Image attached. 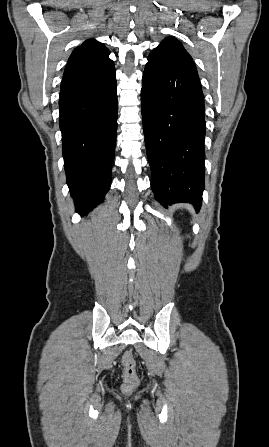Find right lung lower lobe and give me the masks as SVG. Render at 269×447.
<instances>
[{"mask_svg": "<svg viewBox=\"0 0 269 447\" xmlns=\"http://www.w3.org/2000/svg\"><path fill=\"white\" fill-rule=\"evenodd\" d=\"M114 63L63 77L59 125L67 184L76 211L89 212L103 202L111 184L117 131Z\"/></svg>", "mask_w": 269, "mask_h": 447, "instance_id": "98d812e1", "label": "right lung lower lobe"}]
</instances>
